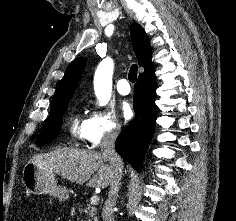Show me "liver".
<instances>
[{"label":"liver","mask_w":236,"mask_h":221,"mask_svg":"<svg viewBox=\"0 0 236 221\" xmlns=\"http://www.w3.org/2000/svg\"><path fill=\"white\" fill-rule=\"evenodd\" d=\"M107 161L106 157L96 151L63 147L49 153L36 154L29 162L73 183L88 182V187L106 188L113 177V169Z\"/></svg>","instance_id":"6515ba94"}]
</instances>
